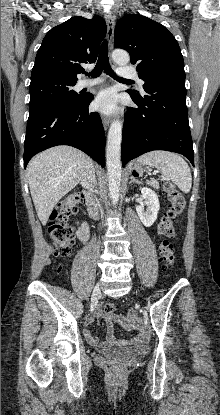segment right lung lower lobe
I'll return each mask as SVG.
<instances>
[{
  "instance_id": "98d812e1",
  "label": "right lung lower lobe",
  "mask_w": 220,
  "mask_h": 415,
  "mask_svg": "<svg viewBox=\"0 0 220 415\" xmlns=\"http://www.w3.org/2000/svg\"><path fill=\"white\" fill-rule=\"evenodd\" d=\"M93 95L61 102L29 115L24 141V167L37 153L57 145H69L105 166V133L97 112H89Z\"/></svg>"
}]
</instances>
